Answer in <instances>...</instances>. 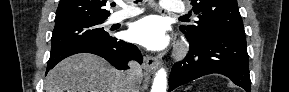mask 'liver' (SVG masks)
<instances>
[{"label":"liver","mask_w":289,"mask_h":92,"mask_svg":"<svg viewBox=\"0 0 289 92\" xmlns=\"http://www.w3.org/2000/svg\"><path fill=\"white\" fill-rule=\"evenodd\" d=\"M45 92L128 91L124 71L111 67L101 57L81 53L64 59L49 71Z\"/></svg>","instance_id":"6515ba94"}]
</instances>
